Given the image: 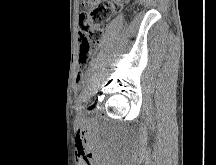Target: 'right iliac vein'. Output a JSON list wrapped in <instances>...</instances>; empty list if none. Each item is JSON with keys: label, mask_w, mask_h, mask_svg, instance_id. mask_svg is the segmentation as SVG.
Masks as SVG:
<instances>
[{"label": "right iliac vein", "mask_w": 216, "mask_h": 165, "mask_svg": "<svg viewBox=\"0 0 216 165\" xmlns=\"http://www.w3.org/2000/svg\"><path fill=\"white\" fill-rule=\"evenodd\" d=\"M77 116H78V117L81 116V109L78 110Z\"/></svg>", "instance_id": "63e3f726"}]
</instances>
